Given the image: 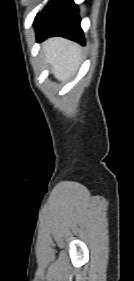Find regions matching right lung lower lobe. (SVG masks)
Here are the masks:
<instances>
[{"label":"right lung lower lobe","mask_w":134,"mask_h":281,"mask_svg":"<svg viewBox=\"0 0 134 281\" xmlns=\"http://www.w3.org/2000/svg\"><path fill=\"white\" fill-rule=\"evenodd\" d=\"M38 41L52 36H63L85 44L80 27L78 8L73 0H50L34 22Z\"/></svg>","instance_id":"right-lung-lower-lobe-1"}]
</instances>
